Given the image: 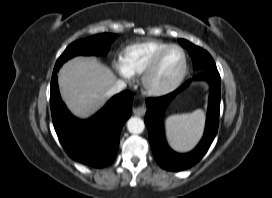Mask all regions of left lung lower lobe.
<instances>
[{
    "label": "left lung lower lobe",
    "mask_w": 272,
    "mask_h": 198,
    "mask_svg": "<svg viewBox=\"0 0 272 198\" xmlns=\"http://www.w3.org/2000/svg\"><path fill=\"white\" fill-rule=\"evenodd\" d=\"M194 80H206L209 82L210 98L204 136L198 146L190 153L179 154L169 148L164 137L163 115L171 99L185 88L191 80L168 95L158 98H148L146 100L148 110L144 121L148 128L153 155L156 162L166 170L180 171L196 164L209 149L218 130L221 88V79L218 70L217 68L204 70L196 75Z\"/></svg>",
    "instance_id": "obj_1"
}]
</instances>
